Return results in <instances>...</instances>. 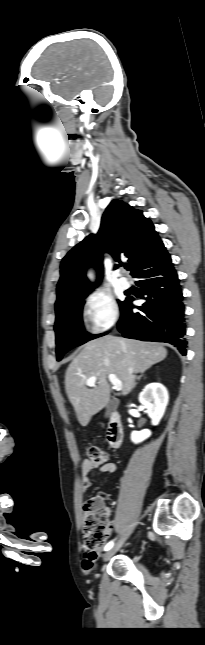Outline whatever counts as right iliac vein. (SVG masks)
Masks as SVG:
<instances>
[{"instance_id": "63e3f726", "label": "right iliac vein", "mask_w": 205, "mask_h": 645, "mask_svg": "<svg viewBox=\"0 0 205 645\" xmlns=\"http://www.w3.org/2000/svg\"><path fill=\"white\" fill-rule=\"evenodd\" d=\"M129 534H125L111 549L103 555V561L109 560L124 544Z\"/></svg>"}]
</instances>
